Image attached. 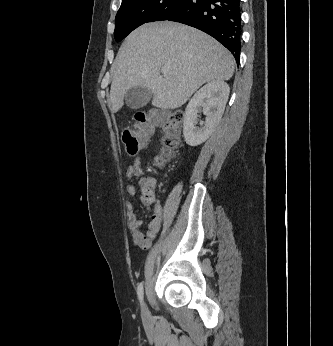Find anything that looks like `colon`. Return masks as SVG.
Returning <instances> with one entry per match:
<instances>
[{
  "label": "colon",
  "mask_w": 333,
  "mask_h": 346,
  "mask_svg": "<svg viewBox=\"0 0 333 346\" xmlns=\"http://www.w3.org/2000/svg\"><path fill=\"white\" fill-rule=\"evenodd\" d=\"M183 119V112L180 110L170 111L161 114L156 110L147 112H137L134 115V124L126 127L122 132V141L126 152L135 155L144 149L150 136L162 129V151L156 157L155 163L163 165L166 160L177 149L180 143V123ZM151 184H153L151 182Z\"/></svg>",
  "instance_id": "1"
}]
</instances>
